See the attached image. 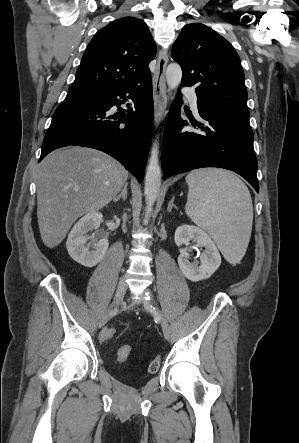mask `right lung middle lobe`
<instances>
[{
    "label": "right lung middle lobe",
    "instance_id": "1",
    "mask_svg": "<svg viewBox=\"0 0 299 443\" xmlns=\"http://www.w3.org/2000/svg\"><path fill=\"white\" fill-rule=\"evenodd\" d=\"M96 91L94 90H89V89H81V88H69L68 90V94H84V95H89V94H94Z\"/></svg>",
    "mask_w": 299,
    "mask_h": 443
}]
</instances>
